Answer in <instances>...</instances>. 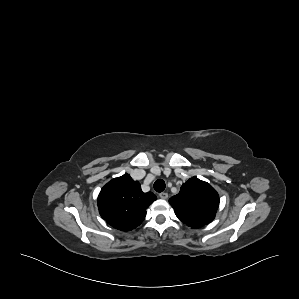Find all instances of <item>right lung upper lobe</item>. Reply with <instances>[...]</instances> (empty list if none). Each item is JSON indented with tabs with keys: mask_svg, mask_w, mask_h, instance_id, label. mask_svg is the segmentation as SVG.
I'll return each mask as SVG.
<instances>
[{
	"mask_svg": "<svg viewBox=\"0 0 299 299\" xmlns=\"http://www.w3.org/2000/svg\"><path fill=\"white\" fill-rule=\"evenodd\" d=\"M157 197L144 193L140 183L127 173L108 182L98 196L100 215L112 227L129 231L144 220L146 209Z\"/></svg>",
	"mask_w": 299,
	"mask_h": 299,
	"instance_id": "cb5924a9",
	"label": "right lung upper lobe"
}]
</instances>
